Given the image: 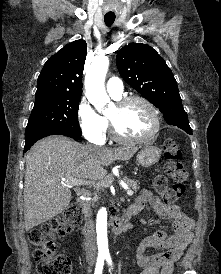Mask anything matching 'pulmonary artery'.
Listing matches in <instances>:
<instances>
[{"label": "pulmonary artery", "mask_w": 221, "mask_h": 274, "mask_svg": "<svg viewBox=\"0 0 221 274\" xmlns=\"http://www.w3.org/2000/svg\"><path fill=\"white\" fill-rule=\"evenodd\" d=\"M106 89L111 96L119 98L123 93L124 87L118 77H111L106 83Z\"/></svg>", "instance_id": "1"}]
</instances>
